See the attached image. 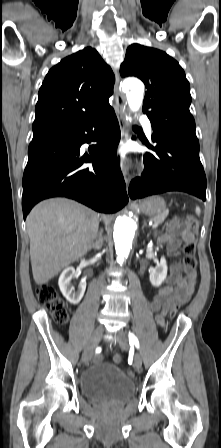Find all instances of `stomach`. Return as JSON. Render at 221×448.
Segmentation results:
<instances>
[{"mask_svg": "<svg viewBox=\"0 0 221 448\" xmlns=\"http://www.w3.org/2000/svg\"><path fill=\"white\" fill-rule=\"evenodd\" d=\"M136 208L144 214L154 217L167 213L166 203L159 196H152L139 202Z\"/></svg>", "mask_w": 221, "mask_h": 448, "instance_id": "obj_1", "label": "stomach"}]
</instances>
